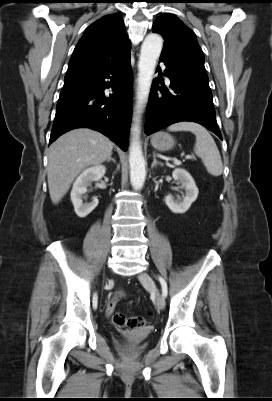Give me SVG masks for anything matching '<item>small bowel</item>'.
I'll use <instances>...</instances> for the list:
<instances>
[{"label": "small bowel", "mask_w": 272, "mask_h": 401, "mask_svg": "<svg viewBox=\"0 0 272 401\" xmlns=\"http://www.w3.org/2000/svg\"><path fill=\"white\" fill-rule=\"evenodd\" d=\"M121 297V293L117 292L112 295L106 305L105 313L108 317H110L114 311V308Z\"/></svg>", "instance_id": "1"}]
</instances>
